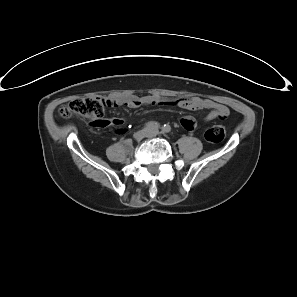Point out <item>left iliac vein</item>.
Here are the masks:
<instances>
[{"label": "left iliac vein", "mask_w": 297, "mask_h": 297, "mask_svg": "<svg viewBox=\"0 0 297 297\" xmlns=\"http://www.w3.org/2000/svg\"><path fill=\"white\" fill-rule=\"evenodd\" d=\"M153 134V131L148 132V136H151Z\"/></svg>", "instance_id": "obj_1"}]
</instances>
